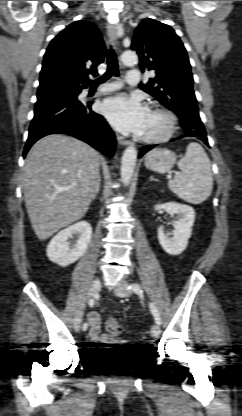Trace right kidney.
<instances>
[{"mask_svg": "<svg viewBox=\"0 0 242 416\" xmlns=\"http://www.w3.org/2000/svg\"><path fill=\"white\" fill-rule=\"evenodd\" d=\"M73 235L78 237L76 244L68 241ZM92 228L86 221L75 223L53 237L47 247V257L50 261L68 266L77 261L86 252L91 241Z\"/></svg>", "mask_w": 242, "mask_h": 416, "instance_id": "right-kidney-1", "label": "right kidney"}]
</instances>
